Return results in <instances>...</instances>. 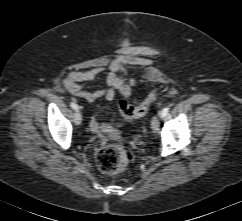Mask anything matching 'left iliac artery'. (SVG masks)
<instances>
[{
    "label": "left iliac artery",
    "mask_w": 242,
    "mask_h": 221,
    "mask_svg": "<svg viewBox=\"0 0 242 221\" xmlns=\"http://www.w3.org/2000/svg\"><path fill=\"white\" fill-rule=\"evenodd\" d=\"M162 117L166 116L169 112V107H165L164 109H162Z\"/></svg>",
    "instance_id": "1"
}]
</instances>
